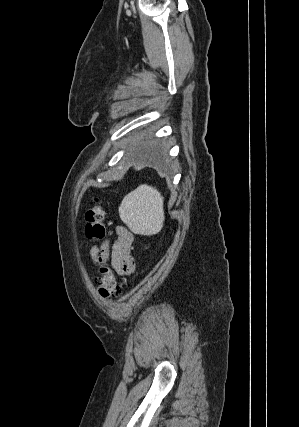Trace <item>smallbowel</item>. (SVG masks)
Wrapping results in <instances>:
<instances>
[{
  "label": "small bowel",
  "instance_id": "obj_1",
  "mask_svg": "<svg viewBox=\"0 0 299 427\" xmlns=\"http://www.w3.org/2000/svg\"><path fill=\"white\" fill-rule=\"evenodd\" d=\"M115 231L117 239L112 246L110 247L108 242H104L101 246H93L90 249V257L94 262L99 257L110 260L112 267L120 275H129L135 268V261L131 254L134 235L122 225L117 226Z\"/></svg>",
  "mask_w": 299,
  "mask_h": 427
}]
</instances>
